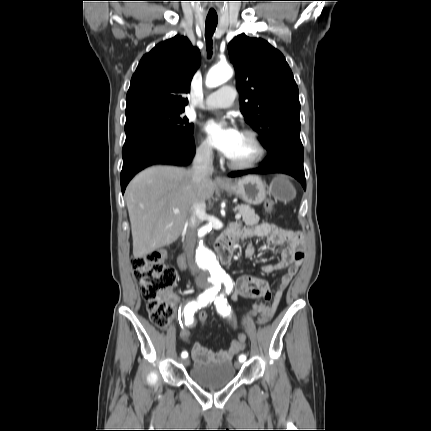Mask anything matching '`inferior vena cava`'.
Instances as JSON below:
<instances>
[{
  "instance_id": "obj_1",
  "label": "inferior vena cava",
  "mask_w": 431,
  "mask_h": 431,
  "mask_svg": "<svg viewBox=\"0 0 431 431\" xmlns=\"http://www.w3.org/2000/svg\"><path fill=\"white\" fill-rule=\"evenodd\" d=\"M192 180L197 185L201 181L210 178L213 173L212 148L209 145L199 148L193 160L191 168ZM206 205L203 200L195 202L192 206V214L187 221L186 247L188 257L191 258L197 241V228L205 215ZM195 270V267H192Z\"/></svg>"
}]
</instances>
